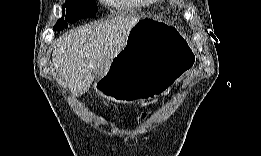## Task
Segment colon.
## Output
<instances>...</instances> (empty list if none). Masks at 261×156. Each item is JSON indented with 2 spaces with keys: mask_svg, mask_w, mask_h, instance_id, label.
<instances>
[{
  "mask_svg": "<svg viewBox=\"0 0 261 156\" xmlns=\"http://www.w3.org/2000/svg\"><path fill=\"white\" fill-rule=\"evenodd\" d=\"M146 115H147V113H146V112H143L142 114H140V115L137 117V119H138V120H142V119H144V118L146 117Z\"/></svg>",
  "mask_w": 261,
  "mask_h": 156,
  "instance_id": "1",
  "label": "colon"
}]
</instances>
